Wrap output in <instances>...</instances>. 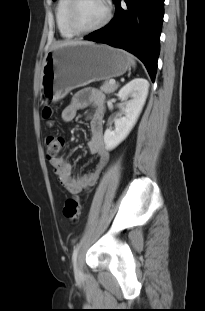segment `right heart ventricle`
I'll list each match as a JSON object with an SVG mask.
<instances>
[{
	"mask_svg": "<svg viewBox=\"0 0 205 311\" xmlns=\"http://www.w3.org/2000/svg\"><path fill=\"white\" fill-rule=\"evenodd\" d=\"M69 3L70 0H59L55 12L56 24L60 35L67 39L73 38L77 35L68 24L67 11Z\"/></svg>",
	"mask_w": 205,
	"mask_h": 311,
	"instance_id": "e07e8e85",
	"label": "right heart ventricle"
}]
</instances>
